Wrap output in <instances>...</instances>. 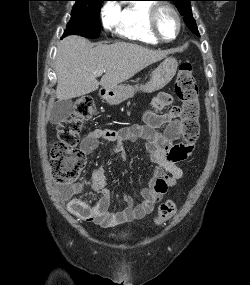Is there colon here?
<instances>
[{
  "label": "colon",
  "instance_id": "1",
  "mask_svg": "<svg viewBox=\"0 0 250 285\" xmlns=\"http://www.w3.org/2000/svg\"><path fill=\"white\" fill-rule=\"evenodd\" d=\"M175 91L182 106L179 109V119L182 127V137L186 144L191 145L199 135V100L198 86L193 76L192 65L183 63L179 67ZM96 114L95 105L88 97L80 98L74 106L70 118L58 125V139L50 147L51 167L55 179L59 183L74 182L85 165L84 153L77 149L80 131L85 121ZM174 201L166 200L158 207L156 224L162 225L176 213Z\"/></svg>",
  "mask_w": 250,
  "mask_h": 285
}]
</instances>
